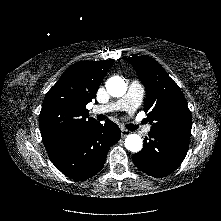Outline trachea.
I'll list each match as a JSON object with an SVG mask.
<instances>
[{
    "instance_id": "1",
    "label": "trachea",
    "mask_w": 221,
    "mask_h": 221,
    "mask_svg": "<svg viewBox=\"0 0 221 221\" xmlns=\"http://www.w3.org/2000/svg\"><path fill=\"white\" fill-rule=\"evenodd\" d=\"M104 118H105L104 115H99V116H98V119H99V120H104ZM126 127H127L128 130H131V131H133V130H135V129L138 128V126L133 125V124H127Z\"/></svg>"
}]
</instances>
